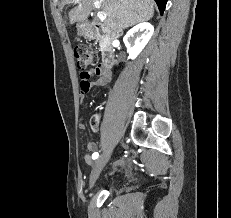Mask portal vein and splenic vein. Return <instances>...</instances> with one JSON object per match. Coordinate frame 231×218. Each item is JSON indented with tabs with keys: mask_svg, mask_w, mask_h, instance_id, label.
Returning a JSON list of instances; mask_svg holds the SVG:
<instances>
[{
	"mask_svg": "<svg viewBox=\"0 0 231 218\" xmlns=\"http://www.w3.org/2000/svg\"><path fill=\"white\" fill-rule=\"evenodd\" d=\"M101 6V3L99 1H94V7L95 8H100ZM97 17L100 19V20H105L106 19V15L104 13H101V12H98L97 13Z\"/></svg>",
	"mask_w": 231,
	"mask_h": 218,
	"instance_id": "18ae733b",
	"label": "portal vein and splenic vein"
}]
</instances>
